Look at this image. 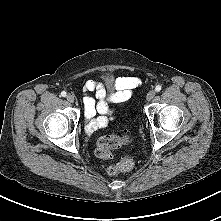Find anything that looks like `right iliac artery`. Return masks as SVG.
Returning <instances> with one entry per match:
<instances>
[{
	"label": "right iliac artery",
	"mask_w": 221,
	"mask_h": 221,
	"mask_svg": "<svg viewBox=\"0 0 221 221\" xmlns=\"http://www.w3.org/2000/svg\"><path fill=\"white\" fill-rule=\"evenodd\" d=\"M66 95H67V93H66L65 91H62V92H61V96H62V97H66Z\"/></svg>",
	"instance_id": "obj_1"
}]
</instances>
